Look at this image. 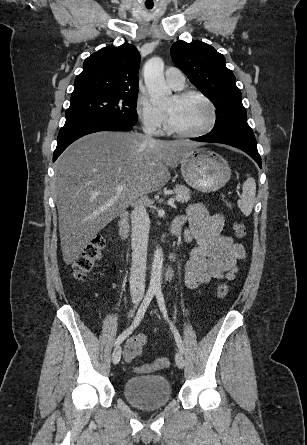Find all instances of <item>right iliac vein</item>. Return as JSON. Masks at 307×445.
I'll list each match as a JSON object with an SVG mask.
<instances>
[{
    "label": "right iliac vein",
    "instance_id": "63e3f726",
    "mask_svg": "<svg viewBox=\"0 0 307 445\" xmlns=\"http://www.w3.org/2000/svg\"><path fill=\"white\" fill-rule=\"evenodd\" d=\"M139 300H135L134 303L138 304ZM122 354L121 346H117L112 353V362L113 364H117L120 361Z\"/></svg>",
    "mask_w": 307,
    "mask_h": 445
}]
</instances>
